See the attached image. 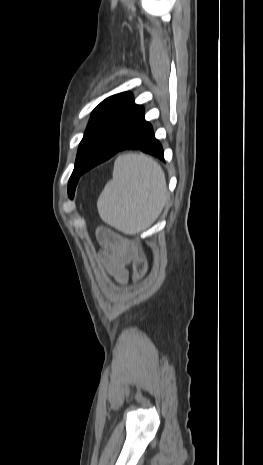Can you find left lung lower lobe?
Returning a JSON list of instances; mask_svg holds the SVG:
<instances>
[{
  "mask_svg": "<svg viewBox=\"0 0 263 465\" xmlns=\"http://www.w3.org/2000/svg\"><path fill=\"white\" fill-rule=\"evenodd\" d=\"M125 149H139L164 161L163 148L144 119L143 107L133 101L103 132L82 167V174Z\"/></svg>",
  "mask_w": 263,
  "mask_h": 465,
  "instance_id": "0a47b994",
  "label": "left lung lower lobe"
}]
</instances>
